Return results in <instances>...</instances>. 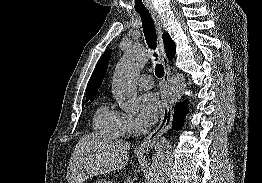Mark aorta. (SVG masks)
Instances as JSON below:
<instances>
[{"label": "aorta", "mask_w": 262, "mask_h": 183, "mask_svg": "<svg viewBox=\"0 0 262 183\" xmlns=\"http://www.w3.org/2000/svg\"><path fill=\"white\" fill-rule=\"evenodd\" d=\"M149 53L142 47L128 50L118 63L113 77L112 92L119 107L126 112L138 109L136 77L147 61ZM186 89L183 74H175L163 92V98L170 104L176 103ZM172 166V155L169 141L162 137L155 146L153 183H161L169 175Z\"/></svg>", "instance_id": "obj_1"}]
</instances>
